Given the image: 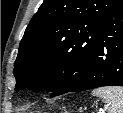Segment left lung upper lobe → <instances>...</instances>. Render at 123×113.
<instances>
[{"instance_id":"5c2ea615","label":"left lung upper lobe","mask_w":123,"mask_h":113,"mask_svg":"<svg viewBox=\"0 0 123 113\" xmlns=\"http://www.w3.org/2000/svg\"><path fill=\"white\" fill-rule=\"evenodd\" d=\"M115 1L44 0L19 45L15 90L28 87L58 96L77 86Z\"/></svg>"}]
</instances>
